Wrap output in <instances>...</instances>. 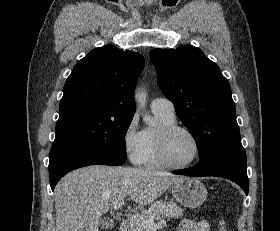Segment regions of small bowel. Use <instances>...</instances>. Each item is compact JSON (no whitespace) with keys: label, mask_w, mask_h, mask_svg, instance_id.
<instances>
[{"label":"small bowel","mask_w":280,"mask_h":231,"mask_svg":"<svg viewBox=\"0 0 280 231\" xmlns=\"http://www.w3.org/2000/svg\"><path fill=\"white\" fill-rule=\"evenodd\" d=\"M177 231H209V226L205 220L194 221L192 219H183Z\"/></svg>","instance_id":"obj_1"}]
</instances>
